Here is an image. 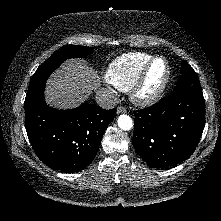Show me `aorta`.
Returning <instances> with one entry per match:
<instances>
[{
    "label": "aorta",
    "instance_id": "1",
    "mask_svg": "<svg viewBox=\"0 0 221 221\" xmlns=\"http://www.w3.org/2000/svg\"><path fill=\"white\" fill-rule=\"evenodd\" d=\"M118 126L122 129V130H125V131H128V130H131L132 127H133V121L131 119L130 116L128 115H120L118 117Z\"/></svg>",
    "mask_w": 221,
    "mask_h": 221
}]
</instances>
